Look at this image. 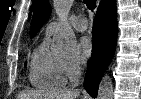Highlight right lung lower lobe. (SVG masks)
<instances>
[{
    "instance_id": "98d812e1",
    "label": "right lung lower lobe",
    "mask_w": 141,
    "mask_h": 99,
    "mask_svg": "<svg viewBox=\"0 0 141 99\" xmlns=\"http://www.w3.org/2000/svg\"><path fill=\"white\" fill-rule=\"evenodd\" d=\"M117 33L115 1L104 0L100 2L92 29V56L84 80V87L92 97H96L99 81L114 55Z\"/></svg>"
}]
</instances>
